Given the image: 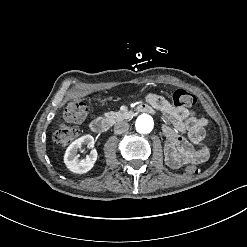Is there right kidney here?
<instances>
[{"mask_svg":"<svg viewBox=\"0 0 247 247\" xmlns=\"http://www.w3.org/2000/svg\"><path fill=\"white\" fill-rule=\"evenodd\" d=\"M83 145H86L87 148L92 149L94 147V138L87 134L76 139L70 144L64 155V163L67 168L78 174H83L91 170L97 160L96 149H92L90 154L87 155L85 159H79L78 151Z\"/></svg>","mask_w":247,"mask_h":247,"instance_id":"1","label":"right kidney"}]
</instances>
